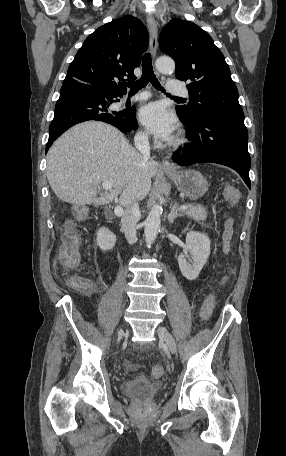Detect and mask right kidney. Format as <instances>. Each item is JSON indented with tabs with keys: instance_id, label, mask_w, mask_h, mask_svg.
Listing matches in <instances>:
<instances>
[{
	"instance_id": "1",
	"label": "right kidney",
	"mask_w": 286,
	"mask_h": 456,
	"mask_svg": "<svg viewBox=\"0 0 286 456\" xmlns=\"http://www.w3.org/2000/svg\"><path fill=\"white\" fill-rule=\"evenodd\" d=\"M96 243L101 250L109 251L115 246L116 235L112 233L108 228L101 227L96 232Z\"/></svg>"
}]
</instances>
